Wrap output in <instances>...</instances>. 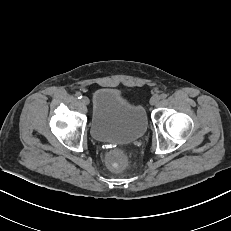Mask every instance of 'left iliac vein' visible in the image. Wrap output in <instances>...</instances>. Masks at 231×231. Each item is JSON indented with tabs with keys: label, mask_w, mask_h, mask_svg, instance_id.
Here are the masks:
<instances>
[{
	"label": "left iliac vein",
	"mask_w": 231,
	"mask_h": 231,
	"mask_svg": "<svg viewBox=\"0 0 231 231\" xmlns=\"http://www.w3.org/2000/svg\"><path fill=\"white\" fill-rule=\"evenodd\" d=\"M160 101V96L154 95L150 99V104L151 105H156Z\"/></svg>",
	"instance_id": "1"
}]
</instances>
